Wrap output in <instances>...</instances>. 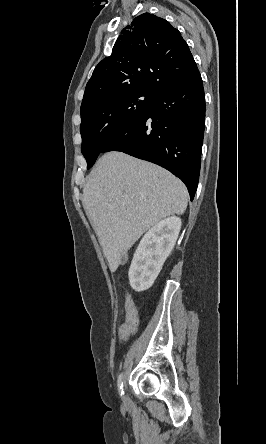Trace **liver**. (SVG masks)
<instances>
[{
  "label": "liver",
  "mask_w": 266,
  "mask_h": 444,
  "mask_svg": "<svg viewBox=\"0 0 266 444\" xmlns=\"http://www.w3.org/2000/svg\"><path fill=\"white\" fill-rule=\"evenodd\" d=\"M185 185L167 170L123 152L104 154L83 189V205L111 272L148 229L185 212Z\"/></svg>",
  "instance_id": "obj_1"
}]
</instances>
